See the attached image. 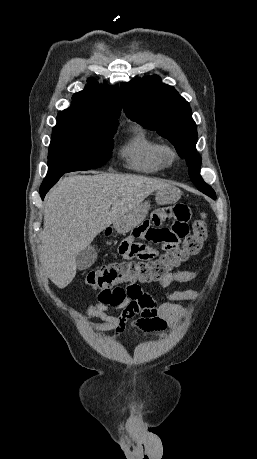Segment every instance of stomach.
Listing matches in <instances>:
<instances>
[{"mask_svg": "<svg viewBox=\"0 0 257 459\" xmlns=\"http://www.w3.org/2000/svg\"><path fill=\"white\" fill-rule=\"evenodd\" d=\"M181 196V191L174 186H168L156 191L155 199L158 205L172 204L174 200H178ZM150 203L143 202L134 209L127 212L122 217L115 220L113 229L119 234H125L132 230L136 223H142L148 215Z\"/></svg>", "mask_w": 257, "mask_h": 459, "instance_id": "obj_1", "label": "stomach"}]
</instances>
